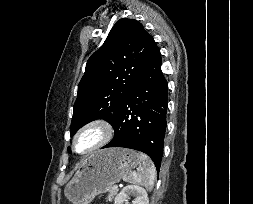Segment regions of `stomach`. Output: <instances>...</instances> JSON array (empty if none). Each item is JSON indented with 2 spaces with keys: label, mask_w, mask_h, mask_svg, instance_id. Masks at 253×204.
Returning a JSON list of instances; mask_svg holds the SVG:
<instances>
[{
  "label": "stomach",
  "mask_w": 253,
  "mask_h": 204,
  "mask_svg": "<svg viewBox=\"0 0 253 204\" xmlns=\"http://www.w3.org/2000/svg\"><path fill=\"white\" fill-rule=\"evenodd\" d=\"M139 163L138 153L125 148L99 150L86 158L64 189L72 204H90L93 199L109 191Z\"/></svg>",
  "instance_id": "0dacf381"
}]
</instances>
